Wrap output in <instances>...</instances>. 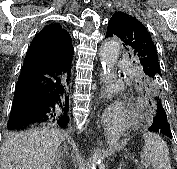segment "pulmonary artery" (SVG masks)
I'll return each mask as SVG.
<instances>
[{
    "mask_svg": "<svg viewBox=\"0 0 177 169\" xmlns=\"http://www.w3.org/2000/svg\"><path fill=\"white\" fill-rule=\"evenodd\" d=\"M127 64H126V62H120V66H126Z\"/></svg>",
    "mask_w": 177,
    "mask_h": 169,
    "instance_id": "obj_1",
    "label": "pulmonary artery"
}]
</instances>
